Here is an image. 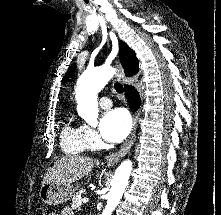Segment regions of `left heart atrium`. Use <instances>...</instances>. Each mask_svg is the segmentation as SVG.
<instances>
[{
  "label": "left heart atrium",
  "instance_id": "obj_1",
  "mask_svg": "<svg viewBox=\"0 0 221 215\" xmlns=\"http://www.w3.org/2000/svg\"><path fill=\"white\" fill-rule=\"evenodd\" d=\"M131 128L130 116L122 108L107 112L100 123V133L109 142H119L129 133Z\"/></svg>",
  "mask_w": 221,
  "mask_h": 215
}]
</instances>
